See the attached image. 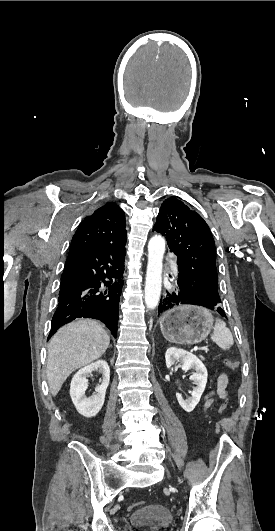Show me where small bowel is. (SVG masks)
I'll use <instances>...</instances> for the list:
<instances>
[{"instance_id": "small-bowel-1", "label": "small bowel", "mask_w": 275, "mask_h": 531, "mask_svg": "<svg viewBox=\"0 0 275 531\" xmlns=\"http://www.w3.org/2000/svg\"><path fill=\"white\" fill-rule=\"evenodd\" d=\"M228 384H229V377L225 373H221L218 375L216 379V384L211 392H209L204 401V410L211 407L214 403L215 396H218L222 399L227 398L228 396Z\"/></svg>"}]
</instances>
